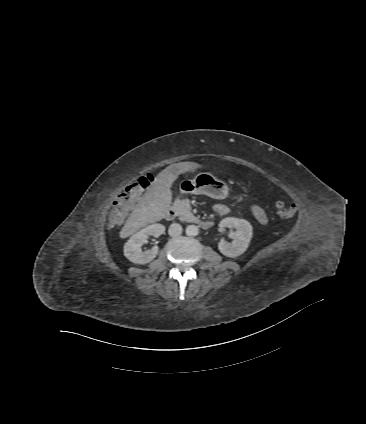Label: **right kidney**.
<instances>
[{
    "label": "right kidney",
    "mask_w": 366,
    "mask_h": 424,
    "mask_svg": "<svg viewBox=\"0 0 366 424\" xmlns=\"http://www.w3.org/2000/svg\"><path fill=\"white\" fill-rule=\"evenodd\" d=\"M164 231V225L155 223L133 234L124 245L125 257L135 264L151 262L158 254V247L154 246L146 251H143L141 247L149 236L159 237Z\"/></svg>",
    "instance_id": "obj_1"
}]
</instances>
